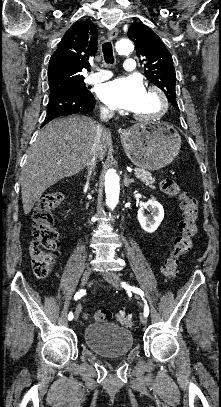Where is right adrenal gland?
<instances>
[{
	"mask_svg": "<svg viewBox=\"0 0 221 407\" xmlns=\"http://www.w3.org/2000/svg\"><path fill=\"white\" fill-rule=\"evenodd\" d=\"M93 174H95V168H94V173ZM87 177V179H88V176H86Z\"/></svg>",
	"mask_w": 221,
	"mask_h": 407,
	"instance_id": "1",
	"label": "right adrenal gland"
}]
</instances>
